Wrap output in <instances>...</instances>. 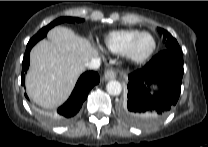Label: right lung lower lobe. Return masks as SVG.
Segmentation results:
<instances>
[{
    "instance_id": "98d812e1",
    "label": "right lung lower lobe",
    "mask_w": 208,
    "mask_h": 147,
    "mask_svg": "<svg viewBox=\"0 0 208 147\" xmlns=\"http://www.w3.org/2000/svg\"><path fill=\"white\" fill-rule=\"evenodd\" d=\"M46 36V35H45ZM45 36H33L27 44L22 62L21 82L25 84V75L29 68V53L31 48ZM100 77L97 72L89 71L82 74L69 99L54 114H48L47 118L55 124H64L70 121L80 110L86 100L89 91L98 84Z\"/></svg>"
}]
</instances>
